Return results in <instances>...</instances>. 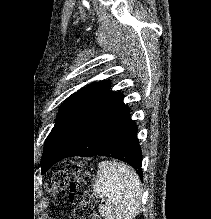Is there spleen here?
<instances>
[{
  "label": "spleen",
  "mask_w": 211,
  "mask_h": 219,
  "mask_svg": "<svg viewBox=\"0 0 211 219\" xmlns=\"http://www.w3.org/2000/svg\"><path fill=\"white\" fill-rule=\"evenodd\" d=\"M93 194L106 198L99 206L104 219H133L139 212L142 190L139 176L128 165L103 161L98 164Z\"/></svg>",
  "instance_id": "spleen-1"
}]
</instances>
